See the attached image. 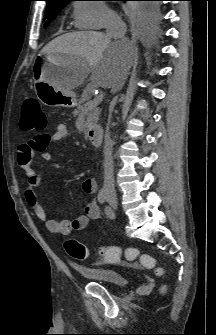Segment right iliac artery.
Instances as JSON below:
<instances>
[{"label": "right iliac artery", "instance_id": "1", "mask_svg": "<svg viewBox=\"0 0 216 335\" xmlns=\"http://www.w3.org/2000/svg\"><path fill=\"white\" fill-rule=\"evenodd\" d=\"M106 190L102 188L98 193V201L102 204L106 201Z\"/></svg>", "mask_w": 216, "mask_h": 335}]
</instances>
